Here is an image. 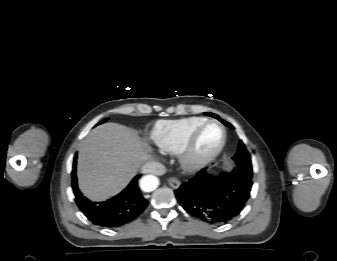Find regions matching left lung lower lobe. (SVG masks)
Returning a JSON list of instances; mask_svg holds the SVG:
<instances>
[{
	"label": "left lung lower lobe",
	"mask_w": 337,
	"mask_h": 261,
	"mask_svg": "<svg viewBox=\"0 0 337 261\" xmlns=\"http://www.w3.org/2000/svg\"><path fill=\"white\" fill-rule=\"evenodd\" d=\"M251 187L252 176L239 168L218 178L201 170L175 190V195L192 216L210 224H223L240 214Z\"/></svg>",
	"instance_id": "0a47b994"
}]
</instances>
